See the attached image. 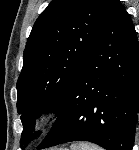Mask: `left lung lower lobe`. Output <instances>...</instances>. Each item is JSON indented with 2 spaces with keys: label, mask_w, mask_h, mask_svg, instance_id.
<instances>
[{
  "label": "left lung lower lobe",
  "mask_w": 139,
  "mask_h": 150,
  "mask_svg": "<svg viewBox=\"0 0 139 150\" xmlns=\"http://www.w3.org/2000/svg\"><path fill=\"white\" fill-rule=\"evenodd\" d=\"M56 113L37 149L82 140L107 150H132L139 113V43L119 0Z\"/></svg>",
  "instance_id": "obj_1"
}]
</instances>
